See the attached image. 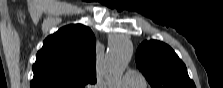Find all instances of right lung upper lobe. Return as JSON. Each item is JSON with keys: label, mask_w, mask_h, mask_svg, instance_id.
I'll use <instances>...</instances> for the list:
<instances>
[{"label": "right lung upper lobe", "mask_w": 223, "mask_h": 88, "mask_svg": "<svg viewBox=\"0 0 223 88\" xmlns=\"http://www.w3.org/2000/svg\"><path fill=\"white\" fill-rule=\"evenodd\" d=\"M95 36L68 25L48 36L33 65L31 88H86L96 83Z\"/></svg>", "instance_id": "obj_1"}]
</instances>
